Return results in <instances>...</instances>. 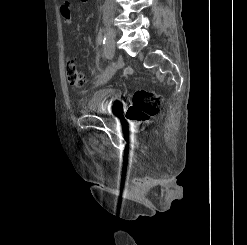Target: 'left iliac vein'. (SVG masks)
Here are the masks:
<instances>
[{"instance_id": "obj_1", "label": "left iliac vein", "mask_w": 247, "mask_h": 245, "mask_svg": "<svg viewBox=\"0 0 247 245\" xmlns=\"http://www.w3.org/2000/svg\"><path fill=\"white\" fill-rule=\"evenodd\" d=\"M115 39V38H114ZM115 48V45H114ZM123 66V61L120 57L116 59V61L113 63L112 69L110 70L109 74L113 73L116 69Z\"/></svg>"}]
</instances>
